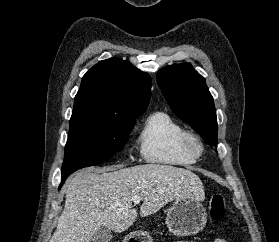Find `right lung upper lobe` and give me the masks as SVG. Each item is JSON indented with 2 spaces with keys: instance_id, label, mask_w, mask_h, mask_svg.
<instances>
[{
  "instance_id": "right-lung-upper-lobe-1",
  "label": "right lung upper lobe",
  "mask_w": 279,
  "mask_h": 242,
  "mask_svg": "<svg viewBox=\"0 0 279 242\" xmlns=\"http://www.w3.org/2000/svg\"><path fill=\"white\" fill-rule=\"evenodd\" d=\"M151 84L149 74L128 61H100L83 76L72 116L137 119L148 106Z\"/></svg>"
}]
</instances>
